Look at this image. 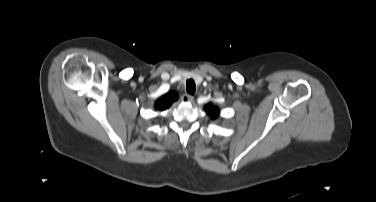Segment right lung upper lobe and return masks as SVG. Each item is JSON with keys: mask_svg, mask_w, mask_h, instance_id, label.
<instances>
[{"mask_svg": "<svg viewBox=\"0 0 376 202\" xmlns=\"http://www.w3.org/2000/svg\"><path fill=\"white\" fill-rule=\"evenodd\" d=\"M178 99V94L174 91H171L164 96L160 97L156 103L155 108L157 110L163 111L171 106V104Z\"/></svg>", "mask_w": 376, "mask_h": 202, "instance_id": "right-lung-upper-lobe-1", "label": "right lung upper lobe"}]
</instances>
